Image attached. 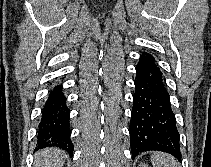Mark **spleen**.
Here are the masks:
<instances>
[{
    "label": "spleen",
    "mask_w": 211,
    "mask_h": 167,
    "mask_svg": "<svg viewBox=\"0 0 211 167\" xmlns=\"http://www.w3.org/2000/svg\"><path fill=\"white\" fill-rule=\"evenodd\" d=\"M153 167H178V162L169 154L154 152L151 156Z\"/></svg>",
    "instance_id": "spleen-1"
}]
</instances>
